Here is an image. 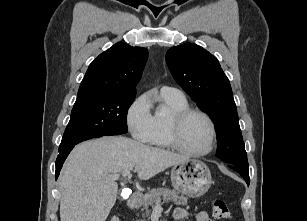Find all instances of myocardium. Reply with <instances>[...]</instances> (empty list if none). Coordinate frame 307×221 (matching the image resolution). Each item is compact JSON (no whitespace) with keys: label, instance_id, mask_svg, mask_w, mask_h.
I'll use <instances>...</instances> for the list:
<instances>
[{"label":"myocardium","instance_id":"myocardium-1","mask_svg":"<svg viewBox=\"0 0 307 221\" xmlns=\"http://www.w3.org/2000/svg\"><path fill=\"white\" fill-rule=\"evenodd\" d=\"M192 115H199L203 117L207 121L210 127L211 138H210L209 147L206 150L201 151V152H193V151L186 149L180 141V136H181L183 125L185 121ZM169 140H170L171 147H173L178 152L184 155L190 156V157H203V156L210 154L216 146L217 128H216L215 122L213 121V119L211 118L209 114H207L206 112L200 109L189 107L173 115L171 119V124H170Z\"/></svg>","mask_w":307,"mask_h":221}]
</instances>
